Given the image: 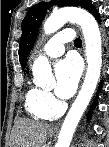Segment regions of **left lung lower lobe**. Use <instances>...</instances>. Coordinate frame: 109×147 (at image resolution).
I'll return each mask as SVG.
<instances>
[{
    "label": "left lung lower lobe",
    "mask_w": 109,
    "mask_h": 147,
    "mask_svg": "<svg viewBox=\"0 0 109 147\" xmlns=\"http://www.w3.org/2000/svg\"><path fill=\"white\" fill-rule=\"evenodd\" d=\"M90 13L93 14L95 16V18L100 22V17H99L98 11L95 9V7L90 11ZM95 104H96V100L94 101L92 108L94 107Z\"/></svg>",
    "instance_id": "left-lung-lower-lobe-1"
}]
</instances>
